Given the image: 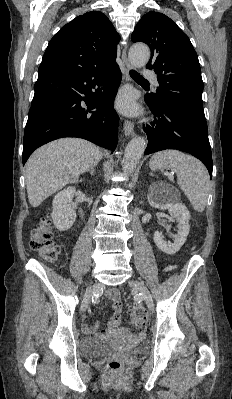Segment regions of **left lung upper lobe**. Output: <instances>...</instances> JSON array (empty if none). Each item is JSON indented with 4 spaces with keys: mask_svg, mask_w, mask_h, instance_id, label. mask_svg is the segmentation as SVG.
<instances>
[{
    "mask_svg": "<svg viewBox=\"0 0 232 399\" xmlns=\"http://www.w3.org/2000/svg\"><path fill=\"white\" fill-rule=\"evenodd\" d=\"M131 39L144 42L151 49L146 67L157 74L159 87L149 96L171 102L207 125L200 64L188 36L169 17L152 11L140 19Z\"/></svg>",
    "mask_w": 232,
    "mask_h": 399,
    "instance_id": "obj_1",
    "label": "left lung upper lobe"
}]
</instances>
